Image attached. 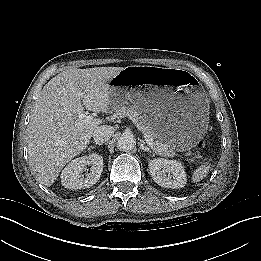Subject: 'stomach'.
<instances>
[{
  "instance_id": "obj_1",
  "label": "stomach",
  "mask_w": 261,
  "mask_h": 261,
  "mask_svg": "<svg viewBox=\"0 0 261 261\" xmlns=\"http://www.w3.org/2000/svg\"><path fill=\"white\" fill-rule=\"evenodd\" d=\"M147 75V90L122 84L134 75ZM109 98L113 109L127 103L147 114L156 137L178 151L193 148L208 126V99L197 80L181 70L155 66H130L112 79ZM111 80V81H112Z\"/></svg>"
}]
</instances>
